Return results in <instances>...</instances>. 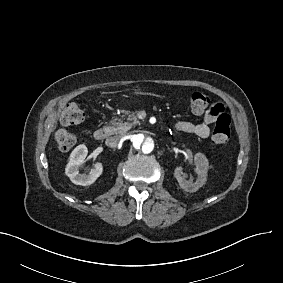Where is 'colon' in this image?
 <instances>
[{
  "label": "colon",
  "instance_id": "1",
  "mask_svg": "<svg viewBox=\"0 0 283 283\" xmlns=\"http://www.w3.org/2000/svg\"><path fill=\"white\" fill-rule=\"evenodd\" d=\"M210 98L203 92H195L190 98V110L195 115L203 114L210 105ZM84 118L83 111L75 103L67 104L61 113V122L64 125H77L82 122ZM231 118L230 116L223 121L213 122L212 141L215 144L225 143L230 135ZM56 146L62 150L67 151L73 148L77 142V136L66 130H57L54 134Z\"/></svg>",
  "mask_w": 283,
  "mask_h": 283
}]
</instances>
